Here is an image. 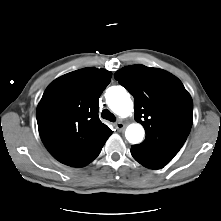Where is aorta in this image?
I'll list each match as a JSON object with an SVG mask.
<instances>
[{
	"label": "aorta",
	"mask_w": 221,
	"mask_h": 221,
	"mask_svg": "<svg viewBox=\"0 0 221 221\" xmlns=\"http://www.w3.org/2000/svg\"><path fill=\"white\" fill-rule=\"evenodd\" d=\"M106 100L111 110L121 117H127L133 111V102L130 94L121 86L109 88ZM144 134V128L138 123L130 124L125 131L126 139L132 144L142 142Z\"/></svg>",
	"instance_id": "1"
}]
</instances>
